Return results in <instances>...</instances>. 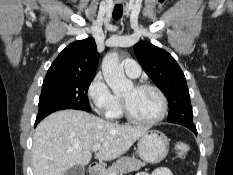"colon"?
Returning <instances> with one entry per match:
<instances>
[{
    "label": "colon",
    "instance_id": "5ec220e1",
    "mask_svg": "<svg viewBox=\"0 0 233 175\" xmlns=\"http://www.w3.org/2000/svg\"><path fill=\"white\" fill-rule=\"evenodd\" d=\"M190 146L187 142L177 141L174 144V151L178 157H184L188 154Z\"/></svg>",
    "mask_w": 233,
    "mask_h": 175
}]
</instances>
